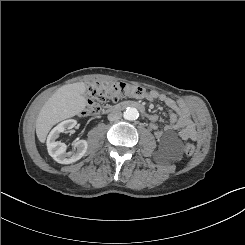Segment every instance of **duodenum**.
<instances>
[{
    "mask_svg": "<svg viewBox=\"0 0 245 245\" xmlns=\"http://www.w3.org/2000/svg\"><path fill=\"white\" fill-rule=\"evenodd\" d=\"M127 108H136L138 109L145 117L147 118H151V114H149L146 110V108L135 101H129V102H122L113 106H106L103 111L104 112H112V111H116V110H124Z\"/></svg>",
    "mask_w": 245,
    "mask_h": 245,
    "instance_id": "obj_1",
    "label": "duodenum"
}]
</instances>
